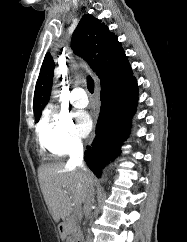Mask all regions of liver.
Here are the masks:
<instances>
[{"label": "liver", "mask_w": 187, "mask_h": 242, "mask_svg": "<svg viewBox=\"0 0 187 242\" xmlns=\"http://www.w3.org/2000/svg\"><path fill=\"white\" fill-rule=\"evenodd\" d=\"M38 178L49 212L57 223L70 215L75 205L85 202L88 190L95 183L91 173L60 161L41 165Z\"/></svg>", "instance_id": "1"}]
</instances>
